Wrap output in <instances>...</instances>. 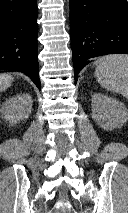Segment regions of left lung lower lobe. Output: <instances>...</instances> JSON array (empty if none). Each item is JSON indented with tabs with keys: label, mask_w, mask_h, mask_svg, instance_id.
I'll return each instance as SVG.
<instances>
[{
	"label": "left lung lower lobe",
	"mask_w": 128,
	"mask_h": 213,
	"mask_svg": "<svg viewBox=\"0 0 128 213\" xmlns=\"http://www.w3.org/2000/svg\"><path fill=\"white\" fill-rule=\"evenodd\" d=\"M75 84L93 57L128 54L127 0H69Z\"/></svg>",
	"instance_id": "obj_1"
}]
</instances>
